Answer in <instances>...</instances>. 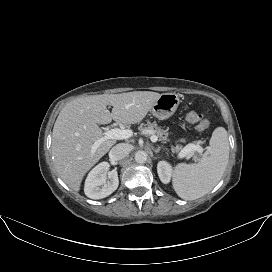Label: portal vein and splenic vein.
<instances>
[{
	"instance_id": "obj_1",
	"label": "portal vein and splenic vein",
	"mask_w": 272,
	"mask_h": 272,
	"mask_svg": "<svg viewBox=\"0 0 272 272\" xmlns=\"http://www.w3.org/2000/svg\"><path fill=\"white\" fill-rule=\"evenodd\" d=\"M133 135L132 130H128V129H119V128H114L108 131L104 132V137L97 140L93 146H92V150L91 152L94 153L95 150L99 147V145L108 139H117V140H122V139H128ZM152 142H157L158 141V137L156 135H152L150 137ZM191 151H197V152H203V149L200 146H196L193 144H190L188 147L184 148L179 154L178 157L179 158H184L185 156H191L192 154Z\"/></svg>"
}]
</instances>
